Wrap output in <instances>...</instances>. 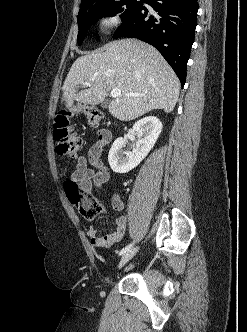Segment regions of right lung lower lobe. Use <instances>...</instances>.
Returning <instances> with one entry per match:
<instances>
[{
    "label": "right lung lower lobe",
    "instance_id": "right-lung-lower-lobe-1",
    "mask_svg": "<svg viewBox=\"0 0 247 332\" xmlns=\"http://www.w3.org/2000/svg\"><path fill=\"white\" fill-rule=\"evenodd\" d=\"M156 12L151 15L142 6L123 21L113 38H138L153 45L171 65L182 86L186 65L194 42L197 25V0H145Z\"/></svg>",
    "mask_w": 247,
    "mask_h": 332
}]
</instances>
